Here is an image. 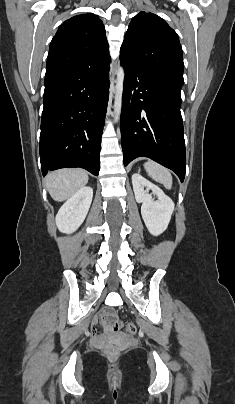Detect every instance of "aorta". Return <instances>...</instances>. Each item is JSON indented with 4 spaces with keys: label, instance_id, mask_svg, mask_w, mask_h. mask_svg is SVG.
I'll use <instances>...</instances> for the list:
<instances>
[{
    "label": "aorta",
    "instance_id": "aorta-1",
    "mask_svg": "<svg viewBox=\"0 0 235 404\" xmlns=\"http://www.w3.org/2000/svg\"><path fill=\"white\" fill-rule=\"evenodd\" d=\"M125 72L123 67H119L117 72V80L115 86V98H114V120L117 122L120 118L122 108V95H123V83Z\"/></svg>",
    "mask_w": 235,
    "mask_h": 404
}]
</instances>
